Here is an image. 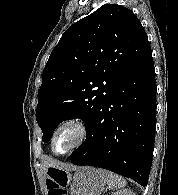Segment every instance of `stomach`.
I'll list each match as a JSON object with an SVG mask.
<instances>
[{"label":"stomach","mask_w":178,"mask_h":195,"mask_svg":"<svg viewBox=\"0 0 178 195\" xmlns=\"http://www.w3.org/2000/svg\"><path fill=\"white\" fill-rule=\"evenodd\" d=\"M74 170L75 172L72 175L70 170L49 167L47 169L48 179L52 180L57 186L50 190L60 189L59 194L68 193L62 195H100L105 190L106 182L99 169L84 166ZM52 174L60 181L53 180L50 177ZM67 186H69V190H67Z\"/></svg>","instance_id":"1"}]
</instances>
